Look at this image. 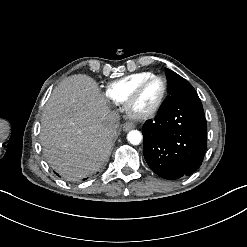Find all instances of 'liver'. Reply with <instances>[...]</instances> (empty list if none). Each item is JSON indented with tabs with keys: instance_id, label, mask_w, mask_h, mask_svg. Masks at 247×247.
Here are the masks:
<instances>
[{
	"instance_id": "obj_1",
	"label": "liver",
	"mask_w": 247,
	"mask_h": 247,
	"mask_svg": "<svg viewBox=\"0 0 247 247\" xmlns=\"http://www.w3.org/2000/svg\"><path fill=\"white\" fill-rule=\"evenodd\" d=\"M113 111L98 83L72 75L53 91L41 117L40 141L50 166L69 181L90 176L109 160Z\"/></svg>"
}]
</instances>
